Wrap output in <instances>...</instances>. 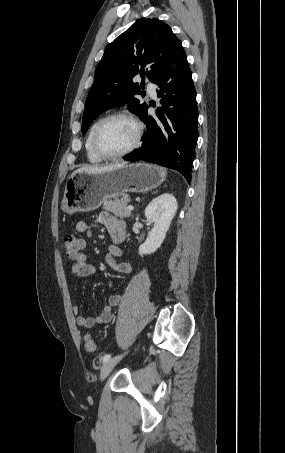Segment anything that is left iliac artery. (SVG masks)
<instances>
[{"mask_svg":"<svg viewBox=\"0 0 285 453\" xmlns=\"http://www.w3.org/2000/svg\"><path fill=\"white\" fill-rule=\"evenodd\" d=\"M110 358H111V354H106L105 356H103L102 360H103V362L105 363V362L108 361Z\"/></svg>","mask_w":285,"mask_h":453,"instance_id":"1","label":"left iliac artery"}]
</instances>
